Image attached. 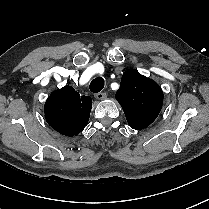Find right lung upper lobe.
Segmentation results:
<instances>
[{
	"label": "right lung upper lobe",
	"instance_id": "1",
	"mask_svg": "<svg viewBox=\"0 0 209 209\" xmlns=\"http://www.w3.org/2000/svg\"><path fill=\"white\" fill-rule=\"evenodd\" d=\"M92 99L80 96L71 86L52 92L45 103L48 124L65 136L78 135L87 125Z\"/></svg>",
	"mask_w": 209,
	"mask_h": 209
}]
</instances>
